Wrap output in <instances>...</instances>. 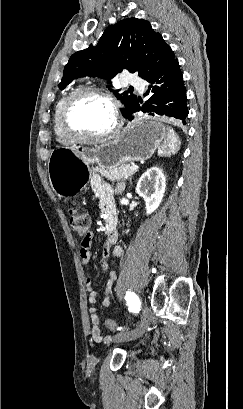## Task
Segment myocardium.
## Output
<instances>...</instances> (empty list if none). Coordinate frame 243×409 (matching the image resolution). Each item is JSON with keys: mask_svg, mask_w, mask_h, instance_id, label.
<instances>
[{"mask_svg": "<svg viewBox=\"0 0 243 409\" xmlns=\"http://www.w3.org/2000/svg\"><path fill=\"white\" fill-rule=\"evenodd\" d=\"M84 97H96L108 104L111 109L113 124L107 131L96 135H86L72 127V125L70 124L71 110L74 104L79 99ZM60 121L63 131L71 139L79 142H98L106 140L116 134L121 127L119 110L115 99L109 93L98 88H80L70 94L62 106Z\"/></svg>", "mask_w": 243, "mask_h": 409, "instance_id": "myocardium-1", "label": "myocardium"}]
</instances>
